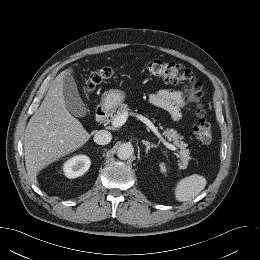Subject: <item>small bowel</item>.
Here are the masks:
<instances>
[{
	"label": "small bowel",
	"mask_w": 260,
	"mask_h": 260,
	"mask_svg": "<svg viewBox=\"0 0 260 260\" xmlns=\"http://www.w3.org/2000/svg\"><path fill=\"white\" fill-rule=\"evenodd\" d=\"M149 102L157 108L166 110L175 122L181 120L182 110L186 106L183 93L173 89H161L152 93Z\"/></svg>",
	"instance_id": "small-bowel-1"
}]
</instances>
